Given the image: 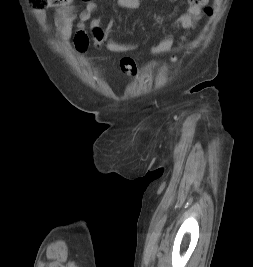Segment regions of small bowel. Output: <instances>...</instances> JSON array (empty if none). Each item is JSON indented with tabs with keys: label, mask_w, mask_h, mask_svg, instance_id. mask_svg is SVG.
I'll return each mask as SVG.
<instances>
[{
	"label": "small bowel",
	"mask_w": 253,
	"mask_h": 267,
	"mask_svg": "<svg viewBox=\"0 0 253 267\" xmlns=\"http://www.w3.org/2000/svg\"><path fill=\"white\" fill-rule=\"evenodd\" d=\"M114 2L118 7L125 9L137 10L140 7V0H114ZM186 2V11L171 22V28L182 27L190 29L194 27L209 0H186ZM82 3L84 7L78 10L76 0H70L68 4L59 7L55 13L54 24L57 29L59 41L68 50H72L74 47L77 51L82 52L88 48L90 43L89 32L87 30L88 22H90V30L96 26L100 27L99 19L94 17V14L98 10L95 0H82ZM39 18L44 22L46 19L45 13L40 12ZM75 23L76 29L73 31ZM105 30L110 36L106 47L109 51L126 53L137 49V44L120 43L114 39L112 37V25L107 26ZM71 39L73 40V44L71 43ZM172 45L173 35L167 33L163 39L152 44L151 51L154 54H162L169 51Z\"/></svg>",
	"instance_id": "small-bowel-1"
}]
</instances>
